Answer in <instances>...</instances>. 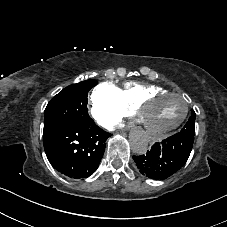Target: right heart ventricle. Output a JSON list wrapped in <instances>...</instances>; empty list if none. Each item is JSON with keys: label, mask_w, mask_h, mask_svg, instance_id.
Segmentation results:
<instances>
[{"label": "right heart ventricle", "mask_w": 227, "mask_h": 227, "mask_svg": "<svg viewBox=\"0 0 227 227\" xmlns=\"http://www.w3.org/2000/svg\"><path fill=\"white\" fill-rule=\"evenodd\" d=\"M166 90L164 87L157 84H149L138 81L126 82L120 89L121 100L127 109H134L136 103L144 96Z\"/></svg>", "instance_id": "obj_1"}]
</instances>
